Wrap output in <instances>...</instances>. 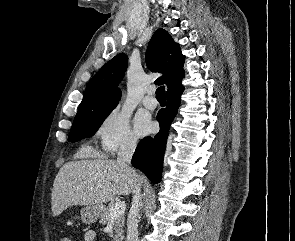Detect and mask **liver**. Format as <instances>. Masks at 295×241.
I'll use <instances>...</instances> for the list:
<instances>
[{
    "instance_id": "1",
    "label": "liver",
    "mask_w": 295,
    "mask_h": 241,
    "mask_svg": "<svg viewBox=\"0 0 295 241\" xmlns=\"http://www.w3.org/2000/svg\"><path fill=\"white\" fill-rule=\"evenodd\" d=\"M135 172V171H134ZM143 177L135 175L115 160H80L65 163L53 183V216L73 205L103 204L116 195H129Z\"/></svg>"
}]
</instances>
